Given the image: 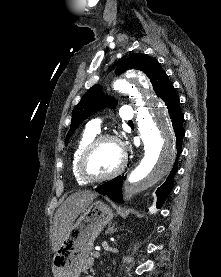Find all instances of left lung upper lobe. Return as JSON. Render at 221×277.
<instances>
[{"mask_svg": "<svg viewBox=\"0 0 221 277\" xmlns=\"http://www.w3.org/2000/svg\"><path fill=\"white\" fill-rule=\"evenodd\" d=\"M143 71L150 79L158 97H164L166 91L172 86L168 76L160 67L158 61L144 54H132L128 59L122 60L116 69L121 74L128 69ZM105 106L114 108L116 101L101 94V87L94 85L90 88L72 112L70 130L66 136V144L78 125L87 117L101 110Z\"/></svg>", "mask_w": 221, "mask_h": 277, "instance_id": "left-lung-upper-lobe-1", "label": "left lung upper lobe"}]
</instances>
